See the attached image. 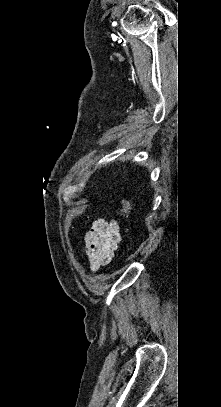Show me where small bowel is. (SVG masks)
Segmentation results:
<instances>
[{"label": "small bowel", "mask_w": 221, "mask_h": 407, "mask_svg": "<svg viewBox=\"0 0 221 407\" xmlns=\"http://www.w3.org/2000/svg\"><path fill=\"white\" fill-rule=\"evenodd\" d=\"M121 234L114 220L97 219L84 233L82 249L90 268L97 270L114 257Z\"/></svg>", "instance_id": "c3829d8e"}]
</instances>
